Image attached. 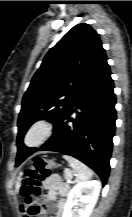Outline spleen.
<instances>
[{
  "label": "spleen",
  "mask_w": 132,
  "mask_h": 217,
  "mask_svg": "<svg viewBox=\"0 0 132 217\" xmlns=\"http://www.w3.org/2000/svg\"><path fill=\"white\" fill-rule=\"evenodd\" d=\"M63 158L69 162L70 166L76 172V180L78 182L89 180L92 177V170L81 161L68 155H64Z\"/></svg>",
  "instance_id": "1"
}]
</instances>
